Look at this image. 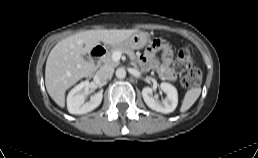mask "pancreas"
<instances>
[{"label":"pancreas","mask_w":258,"mask_h":158,"mask_svg":"<svg viewBox=\"0 0 258 158\" xmlns=\"http://www.w3.org/2000/svg\"><path fill=\"white\" fill-rule=\"evenodd\" d=\"M115 52L126 53L132 61L136 58L135 53L131 48L113 47L110 51H108L105 54V56L103 58V63L105 65H110V66H113V67H116V66L119 65V61H115L113 59V54Z\"/></svg>","instance_id":"cf45deb5"}]
</instances>
